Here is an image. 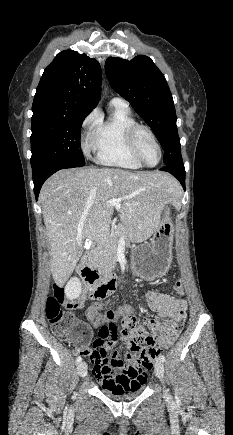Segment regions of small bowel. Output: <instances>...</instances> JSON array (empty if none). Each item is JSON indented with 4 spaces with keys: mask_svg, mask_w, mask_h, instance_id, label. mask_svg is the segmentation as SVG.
<instances>
[{
    "mask_svg": "<svg viewBox=\"0 0 233 435\" xmlns=\"http://www.w3.org/2000/svg\"><path fill=\"white\" fill-rule=\"evenodd\" d=\"M116 287V280L113 279L109 286L108 295L114 292ZM173 289L177 293H181L183 291V283L177 281L173 285ZM145 299L151 311L159 314L167 320L165 324H161L150 317H144L142 320L147 326L160 328L159 343L163 345L168 341V338H174L181 330L186 318L187 303L184 299L166 295L156 290L147 291L145 293ZM63 305L67 306L69 305V302L64 301ZM125 311L132 312L133 308L128 306L116 311L113 319L106 322L99 331L106 347L109 349L117 338V322L119 318L123 316ZM121 340L125 342L130 341L126 334L121 335ZM122 360L123 357L120 354H112L110 361L107 364H93V374L103 387L116 388L112 383V380L116 375H127L130 377L131 382L136 383L137 385H140L141 382L145 380L147 373L149 372L145 366L135 367L134 370H128L121 365Z\"/></svg>",
    "mask_w": 233,
    "mask_h": 435,
    "instance_id": "obj_1",
    "label": "small bowel"
}]
</instances>
